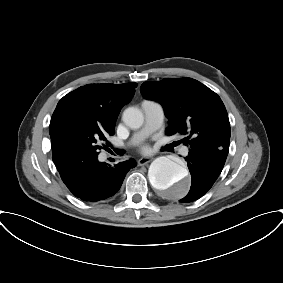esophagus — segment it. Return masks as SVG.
<instances>
[{
    "mask_svg": "<svg viewBox=\"0 0 283 283\" xmlns=\"http://www.w3.org/2000/svg\"><path fill=\"white\" fill-rule=\"evenodd\" d=\"M151 160H152L151 158H146V157L140 158L138 160V165L144 166V165L148 164L149 162H151Z\"/></svg>",
    "mask_w": 283,
    "mask_h": 283,
    "instance_id": "1",
    "label": "esophagus"
}]
</instances>
